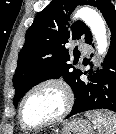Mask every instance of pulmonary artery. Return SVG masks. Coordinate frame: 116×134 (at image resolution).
Masks as SVG:
<instances>
[{
  "mask_svg": "<svg viewBox=\"0 0 116 134\" xmlns=\"http://www.w3.org/2000/svg\"><path fill=\"white\" fill-rule=\"evenodd\" d=\"M79 51L83 54H88L89 53V46L85 43H80L79 45Z\"/></svg>",
  "mask_w": 116,
  "mask_h": 134,
  "instance_id": "pulmonary-artery-1",
  "label": "pulmonary artery"
}]
</instances>
